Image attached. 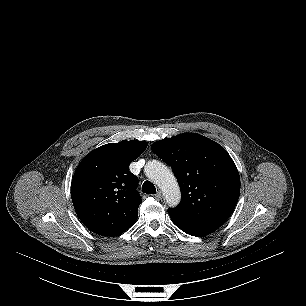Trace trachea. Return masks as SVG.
<instances>
[{
    "instance_id": "trachea-1",
    "label": "trachea",
    "mask_w": 306,
    "mask_h": 306,
    "mask_svg": "<svg viewBox=\"0 0 306 306\" xmlns=\"http://www.w3.org/2000/svg\"><path fill=\"white\" fill-rule=\"evenodd\" d=\"M142 192L147 194H156V188L150 181H145L142 185Z\"/></svg>"
}]
</instances>
